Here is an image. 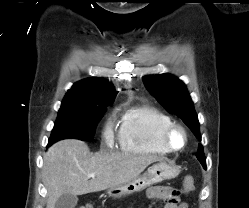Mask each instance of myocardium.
Returning a JSON list of instances; mask_svg holds the SVG:
<instances>
[{
    "instance_id": "1",
    "label": "myocardium",
    "mask_w": 249,
    "mask_h": 208,
    "mask_svg": "<svg viewBox=\"0 0 249 208\" xmlns=\"http://www.w3.org/2000/svg\"><path fill=\"white\" fill-rule=\"evenodd\" d=\"M180 131L183 134L184 141L180 146H174L171 142L172 135L176 132ZM160 141L162 145L169 150L170 152H178L183 150L188 143V133L185 127L179 123H171L167 127H165L160 134Z\"/></svg>"
}]
</instances>
